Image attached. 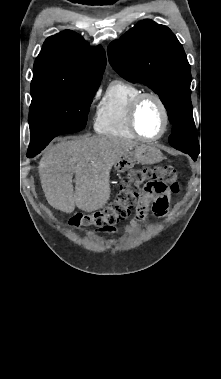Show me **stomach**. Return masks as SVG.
Returning <instances> with one entry per match:
<instances>
[{"label":"stomach","mask_w":221,"mask_h":379,"mask_svg":"<svg viewBox=\"0 0 221 379\" xmlns=\"http://www.w3.org/2000/svg\"><path fill=\"white\" fill-rule=\"evenodd\" d=\"M162 160V152L152 145H139L134 147L115 162L114 167L118 173H124L131 169L136 163L152 165Z\"/></svg>","instance_id":"stomach-1"}]
</instances>
